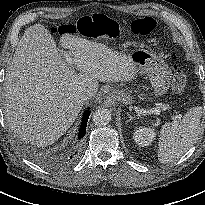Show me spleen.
I'll return each instance as SVG.
<instances>
[{"instance_id": "1", "label": "spleen", "mask_w": 205, "mask_h": 205, "mask_svg": "<svg viewBox=\"0 0 205 205\" xmlns=\"http://www.w3.org/2000/svg\"><path fill=\"white\" fill-rule=\"evenodd\" d=\"M202 107L189 109L182 121L167 122L160 130L158 159L161 163H170L181 157L196 142L200 132Z\"/></svg>"}]
</instances>
